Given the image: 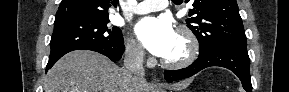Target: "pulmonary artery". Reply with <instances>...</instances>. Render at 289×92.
Returning <instances> with one entry per match:
<instances>
[{"mask_svg":"<svg viewBox=\"0 0 289 92\" xmlns=\"http://www.w3.org/2000/svg\"><path fill=\"white\" fill-rule=\"evenodd\" d=\"M168 2L166 0H144L138 3L133 12L135 14H146L167 8Z\"/></svg>","mask_w":289,"mask_h":92,"instance_id":"e3ab8cb5","label":"pulmonary artery"}]
</instances>
